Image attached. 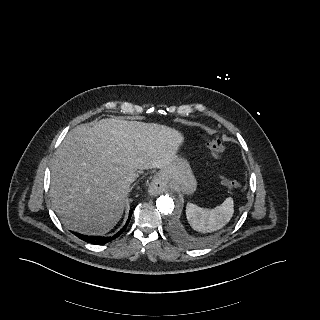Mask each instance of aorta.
I'll return each mask as SVG.
<instances>
[{
	"instance_id": "1",
	"label": "aorta",
	"mask_w": 320,
	"mask_h": 320,
	"mask_svg": "<svg viewBox=\"0 0 320 320\" xmlns=\"http://www.w3.org/2000/svg\"><path fill=\"white\" fill-rule=\"evenodd\" d=\"M157 209L162 214H170L174 211L175 203L171 195H161L156 201Z\"/></svg>"
}]
</instances>
